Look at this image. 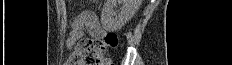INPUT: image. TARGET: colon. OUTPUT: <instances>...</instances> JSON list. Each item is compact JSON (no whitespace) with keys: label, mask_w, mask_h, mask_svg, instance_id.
<instances>
[{"label":"colon","mask_w":232,"mask_h":65,"mask_svg":"<svg viewBox=\"0 0 232 65\" xmlns=\"http://www.w3.org/2000/svg\"><path fill=\"white\" fill-rule=\"evenodd\" d=\"M119 38L114 33H108L98 44L90 39L82 40L77 50L87 65H110L106 50L117 47Z\"/></svg>","instance_id":"1"}]
</instances>
